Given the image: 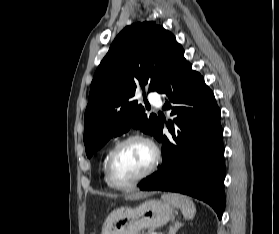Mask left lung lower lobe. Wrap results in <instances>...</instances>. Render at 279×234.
I'll return each instance as SVG.
<instances>
[{
    "instance_id": "0a47b994",
    "label": "left lung lower lobe",
    "mask_w": 279,
    "mask_h": 234,
    "mask_svg": "<svg viewBox=\"0 0 279 234\" xmlns=\"http://www.w3.org/2000/svg\"><path fill=\"white\" fill-rule=\"evenodd\" d=\"M174 120L162 135L159 121L155 138L162 142L163 163L138 185L141 190L172 191L198 198L213 207L219 219L225 207L224 147L221 112L204 78L192 70L181 48L157 87Z\"/></svg>"
}]
</instances>
